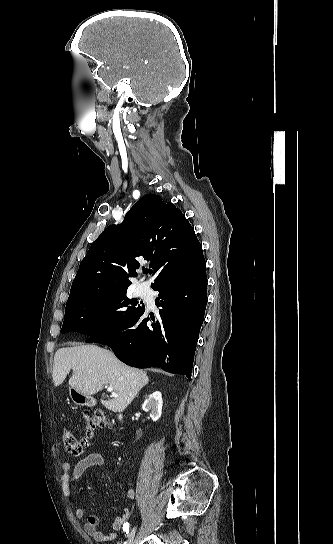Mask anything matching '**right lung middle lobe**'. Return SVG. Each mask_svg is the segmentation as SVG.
<instances>
[{"label":"right lung middle lobe","instance_id":"1","mask_svg":"<svg viewBox=\"0 0 333 544\" xmlns=\"http://www.w3.org/2000/svg\"><path fill=\"white\" fill-rule=\"evenodd\" d=\"M127 290L93 293L67 301L61 333L77 331L95 336L133 320L145 308L129 299Z\"/></svg>","mask_w":333,"mask_h":544}]
</instances>
